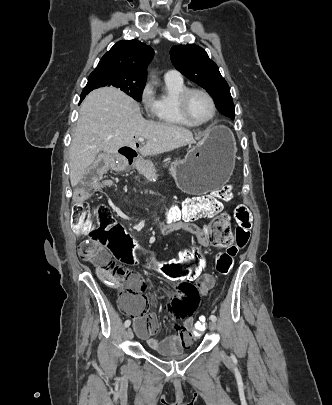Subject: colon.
Wrapping results in <instances>:
<instances>
[{
  "label": "colon",
  "mask_w": 332,
  "mask_h": 405,
  "mask_svg": "<svg viewBox=\"0 0 332 405\" xmlns=\"http://www.w3.org/2000/svg\"><path fill=\"white\" fill-rule=\"evenodd\" d=\"M232 198V187L224 186L211 194L192 197L180 206L166 210L167 217H180L185 213L203 214L216 212L221 209L223 202ZM72 226L79 235L88 236L78 248L82 260L103 272L109 282L116 285L121 294L126 291L121 289V279L113 263L112 256H123L121 261L126 267L154 268L157 273H165L170 282L201 281L205 274L203 259H198V254L187 249L188 259L172 257V262H159L154 265L150 258H145L138 263L136 247L132 237L125 226L114 220L110 209L103 204H91L84 199H79L72 208ZM215 220H206L205 227L201 229L200 240L196 242L195 234L187 235L188 243H195L197 249H225L215 259L216 271L227 275L233 266V260L238 251L244 248L250 239L252 218L249 210L239 205L235 208L234 219L236 226L229 227V216L223 211H218ZM234 243L229 246V243ZM176 261V262H175ZM180 261V262H179ZM208 318L206 313L196 316L192 323L190 340L199 342L206 329Z\"/></svg>",
  "instance_id": "5ec220e1"
}]
</instances>
